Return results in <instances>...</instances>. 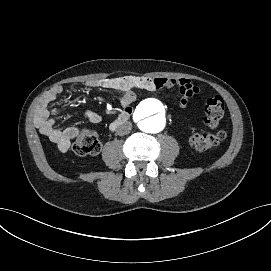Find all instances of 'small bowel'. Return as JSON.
I'll return each mask as SVG.
<instances>
[{"mask_svg":"<svg viewBox=\"0 0 271 271\" xmlns=\"http://www.w3.org/2000/svg\"><path fill=\"white\" fill-rule=\"evenodd\" d=\"M91 88H106L120 93L119 101L122 107L130 110L131 104L136 99V90L156 91L162 88H178L181 98L179 105L187 107L189 100L199 93V88L185 78H147L135 76L111 77L90 80L86 83ZM63 88L55 86L46 91L35 109L34 124L60 150H67L71 141L78 136L77 127L59 128L56 126V117L63 113L62 107L50 108V104L63 96ZM83 116L91 123L101 122V116L92 110H85Z\"/></svg>","mask_w":271,"mask_h":271,"instance_id":"1","label":"small bowel"}]
</instances>
